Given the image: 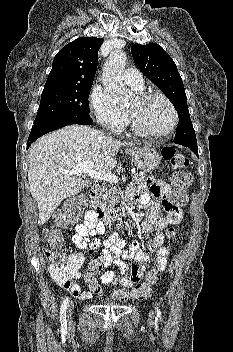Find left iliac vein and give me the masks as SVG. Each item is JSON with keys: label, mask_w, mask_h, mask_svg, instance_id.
I'll return each mask as SVG.
<instances>
[{"label": "left iliac vein", "mask_w": 233, "mask_h": 352, "mask_svg": "<svg viewBox=\"0 0 233 352\" xmlns=\"http://www.w3.org/2000/svg\"><path fill=\"white\" fill-rule=\"evenodd\" d=\"M153 318H154V312L150 311V313H149V321L153 322Z\"/></svg>", "instance_id": "left-iliac-vein-1"}]
</instances>
